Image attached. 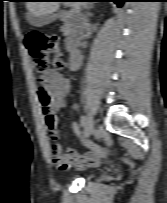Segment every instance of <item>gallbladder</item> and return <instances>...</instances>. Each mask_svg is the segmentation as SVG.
<instances>
[{"instance_id": "obj_1", "label": "gallbladder", "mask_w": 167, "mask_h": 203, "mask_svg": "<svg viewBox=\"0 0 167 203\" xmlns=\"http://www.w3.org/2000/svg\"><path fill=\"white\" fill-rule=\"evenodd\" d=\"M60 16H61V13L59 12L55 14H48V15H35L30 13L27 16V19L32 26L41 27L50 23L51 21H53L54 19Z\"/></svg>"}]
</instances>
